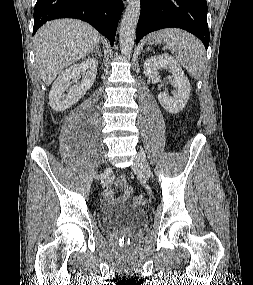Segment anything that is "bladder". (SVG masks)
<instances>
[{
    "label": "bladder",
    "instance_id": "bladder-1",
    "mask_svg": "<svg viewBox=\"0 0 253 285\" xmlns=\"http://www.w3.org/2000/svg\"><path fill=\"white\" fill-rule=\"evenodd\" d=\"M100 216L103 226L108 230L135 229L147 221L146 211L131 204L105 208Z\"/></svg>",
    "mask_w": 253,
    "mask_h": 285
}]
</instances>
